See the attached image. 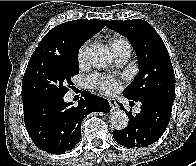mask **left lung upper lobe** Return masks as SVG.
Returning <instances> with one entry per match:
<instances>
[{
    "instance_id": "1",
    "label": "left lung upper lobe",
    "mask_w": 196,
    "mask_h": 166,
    "mask_svg": "<svg viewBox=\"0 0 196 166\" xmlns=\"http://www.w3.org/2000/svg\"><path fill=\"white\" fill-rule=\"evenodd\" d=\"M107 27L126 36L137 54L139 74L123 91L125 97L139 101L155 96L174 102V70L167 48L156 30L141 19L111 20Z\"/></svg>"
}]
</instances>
